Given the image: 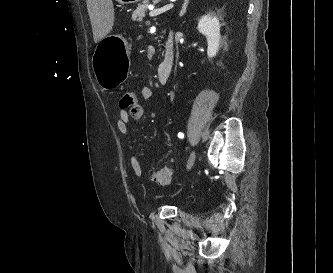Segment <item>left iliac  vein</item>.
<instances>
[{
    "instance_id": "4c4485c4",
    "label": "left iliac vein",
    "mask_w": 333,
    "mask_h": 273,
    "mask_svg": "<svg viewBox=\"0 0 333 273\" xmlns=\"http://www.w3.org/2000/svg\"><path fill=\"white\" fill-rule=\"evenodd\" d=\"M195 159H196V154L194 151H192L187 162L188 169H190L194 165Z\"/></svg>"
}]
</instances>
